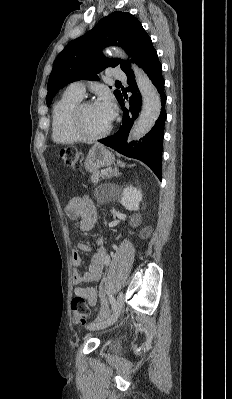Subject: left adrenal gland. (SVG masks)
Instances as JSON below:
<instances>
[{
  "label": "left adrenal gland",
  "instance_id": "obj_1",
  "mask_svg": "<svg viewBox=\"0 0 232 399\" xmlns=\"http://www.w3.org/2000/svg\"><path fill=\"white\" fill-rule=\"evenodd\" d=\"M110 174H111V178H112V176H121V174H119L118 168H116V166H115L114 170H112V172H110Z\"/></svg>",
  "mask_w": 232,
  "mask_h": 399
}]
</instances>
